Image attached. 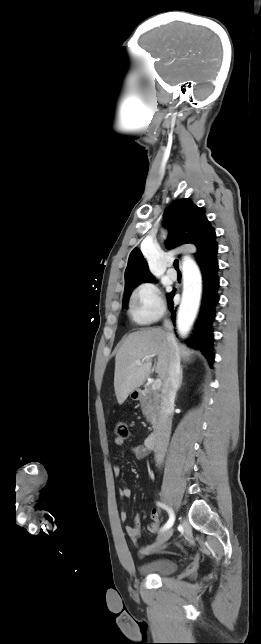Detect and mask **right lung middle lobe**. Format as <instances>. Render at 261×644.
Segmentation results:
<instances>
[{
  "instance_id": "right-lung-middle-lobe-1",
  "label": "right lung middle lobe",
  "mask_w": 261,
  "mask_h": 644,
  "mask_svg": "<svg viewBox=\"0 0 261 644\" xmlns=\"http://www.w3.org/2000/svg\"><path fill=\"white\" fill-rule=\"evenodd\" d=\"M149 282H152V281H149ZM140 283H141V282H140ZM140 283L133 284L131 287H129V288H127V289H125V290H124V295H123V307L127 308V304H128L129 296H130V294H131V292H132L133 288H135V287H136L138 284H140ZM171 294H172V293H169V294H168V298L171 296Z\"/></svg>"
}]
</instances>
